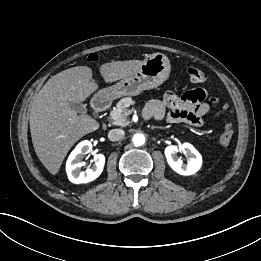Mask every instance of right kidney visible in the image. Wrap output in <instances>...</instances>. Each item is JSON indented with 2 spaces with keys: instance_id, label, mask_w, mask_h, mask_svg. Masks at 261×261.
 Wrapping results in <instances>:
<instances>
[{
  "instance_id": "right-kidney-1",
  "label": "right kidney",
  "mask_w": 261,
  "mask_h": 261,
  "mask_svg": "<svg viewBox=\"0 0 261 261\" xmlns=\"http://www.w3.org/2000/svg\"><path fill=\"white\" fill-rule=\"evenodd\" d=\"M92 144L90 141L85 140L80 142L75 149L71 152L66 162V172L68 179L75 184L88 183L100 176L105 164V156L97 154L94 156V166L81 171L83 165V155L91 151Z\"/></svg>"
}]
</instances>
